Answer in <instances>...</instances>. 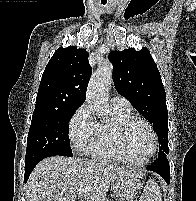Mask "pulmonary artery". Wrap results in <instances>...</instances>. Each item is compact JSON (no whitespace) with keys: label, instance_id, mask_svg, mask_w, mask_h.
Masks as SVG:
<instances>
[{"label":"pulmonary artery","instance_id":"obj_1","mask_svg":"<svg viewBox=\"0 0 196 201\" xmlns=\"http://www.w3.org/2000/svg\"><path fill=\"white\" fill-rule=\"evenodd\" d=\"M111 103L114 108L130 110L129 101L122 96H119V95L114 96L111 100Z\"/></svg>","mask_w":196,"mask_h":201}]
</instances>
